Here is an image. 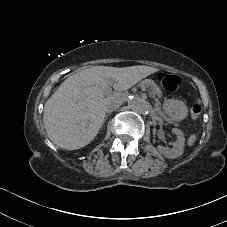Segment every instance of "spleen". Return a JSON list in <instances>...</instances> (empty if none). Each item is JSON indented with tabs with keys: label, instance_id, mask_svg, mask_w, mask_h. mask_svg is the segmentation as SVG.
Returning a JSON list of instances; mask_svg holds the SVG:
<instances>
[{
	"label": "spleen",
	"instance_id": "spleen-1",
	"mask_svg": "<svg viewBox=\"0 0 227 227\" xmlns=\"http://www.w3.org/2000/svg\"><path fill=\"white\" fill-rule=\"evenodd\" d=\"M196 141H197V134L192 133L188 136L186 144H187L188 147H191L192 145L195 144Z\"/></svg>",
	"mask_w": 227,
	"mask_h": 227
}]
</instances>
